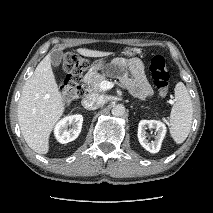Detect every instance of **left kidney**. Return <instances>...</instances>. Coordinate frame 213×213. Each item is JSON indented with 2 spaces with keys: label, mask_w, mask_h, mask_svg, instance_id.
Masks as SVG:
<instances>
[{
  "label": "left kidney",
  "mask_w": 213,
  "mask_h": 213,
  "mask_svg": "<svg viewBox=\"0 0 213 213\" xmlns=\"http://www.w3.org/2000/svg\"><path fill=\"white\" fill-rule=\"evenodd\" d=\"M156 129L155 140L149 142L146 139V129ZM166 134V126L157 120H141L138 125V140L142 147L150 153H157Z\"/></svg>",
  "instance_id": "left-kidney-1"
}]
</instances>
